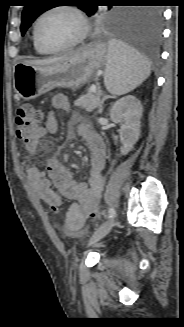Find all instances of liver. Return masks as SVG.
Returning a JSON list of instances; mask_svg holds the SVG:
<instances>
[{"label": "liver", "instance_id": "liver-1", "mask_svg": "<svg viewBox=\"0 0 184 327\" xmlns=\"http://www.w3.org/2000/svg\"><path fill=\"white\" fill-rule=\"evenodd\" d=\"M71 55H64V56H60V57H53V58L43 59V60L25 61V63L31 64V65H37V66H46V65H50V64L59 63L65 59H67Z\"/></svg>", "mask_w": 184, "mask_h": 327}]
</instances>
